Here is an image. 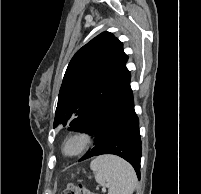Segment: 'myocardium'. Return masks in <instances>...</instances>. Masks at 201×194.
<instances>
[{
  "label": "myocardium",
  "mask_w": 201,
  "mask_h": 194,
  "mask_svg": "<svg viewBox=\"0 0 201 194\" xmlns=\"http://www.w3.org/2000/svg\"><path fill=\"white\" fill-rule=\"evenodd\" d=\"M92 135L85 130H77L65 136L61 144V152L65 157L76 158L85 154L92 145ZM71 143H77V148L68 151L67 148Z\"/></svg>",
  "instance_id": "myocardium-1"
}]
</instances>
